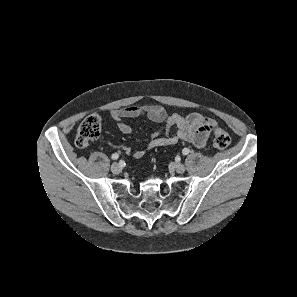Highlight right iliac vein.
I'll return each mask as SVG.
<instances>
[{
	"label": "right iliac vein",
	"instance_id": "right-iliac-vein-1",
	"mask_svg": "<svg viewBox=\"0 0 297 297\" xmlns=\"http://www.w3.org/2000/svg\"><path fill=\"white\" fill-rule=\"evenodd\" d=\"M111 171L114 174H119L121 172V166L118 163H113L111 166Z\"/></svg>",
	"mask_w": 297,
	"mask_h": 297
}]
</instances>
